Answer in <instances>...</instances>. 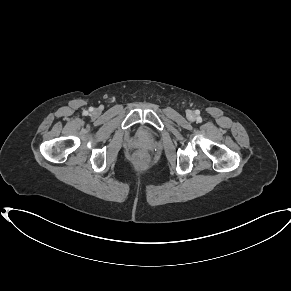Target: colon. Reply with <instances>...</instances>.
<instances>
[{"label": "colon", "mask_w": 291, "mask_h": 291, "mask_svg": "<svg viewBox=\"0 0 291 291\" xmlns=\"http://www.w3.org/2000/svg\"><path fill=\"white\" fill-rule=\"evenodd\" d=\"M136 158H137L138 161H142V160L145 159V154L144 153H139Z\"/></svg>", "instance_id": "colon-1"}]
</instances>
